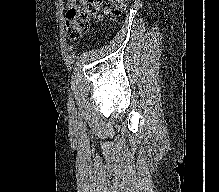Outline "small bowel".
<instances>
[{
    "instance_id": "obj_1",
    "label": "small bowel",
    "mask_w": 219,
    "mask_h": 192,
    "mask_svg": "<svg viewBox=\"0 0 219 192\" xmlns=\"http://www.w3.org/2000/svg\"><path fill=\"white\" fill-rule=\"evenodd\" d=\"M69 3H72V0H68Z\"/></svg>"
}]
</instances>
